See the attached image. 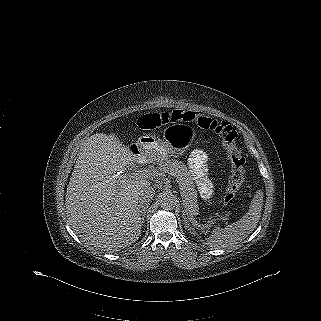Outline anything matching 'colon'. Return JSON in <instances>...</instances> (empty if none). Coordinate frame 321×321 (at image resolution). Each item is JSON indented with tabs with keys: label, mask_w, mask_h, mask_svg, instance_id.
I'll return each mask as SVG.
<instances>
[{
	"label": "colon",
	"mask_w": 321,
	"mask_h": 321,
	"mask_svg": "<svg viewBox=\"0 0 321 321\" xmlns=\"http://www.w3.org/2000/svg\"><path fill=\"white\" fill-rule=\"evenodd\" d=\"M177 121L195 123L199 127L213 130L221 136L233 165L232 175L229 179L224 199L226 202L232 200L241 187L245 174V158L236 144L237 132L226 122H219L209 116L184 110H169L146 114L138 119L137 126L144 130H153L164 124Z\"/></svg>",
	"instance_id": "1"
}]
</instances>
